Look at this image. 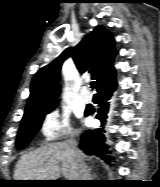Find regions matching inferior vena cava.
<instances>
[{
  "instance_id": "1",
  "label": "inferior vena cava",
  "mask_w": 160,
  "mask_h": 187,
  "mask_svg": "<svg viewBox=\"0 0 160 187\" xmlns=\"http://www.w3.org/2000/svg\"><path fill=\"white\" fill-rule=\"evenodd\" d=\"M66 145L70 149V151L75 155L77 161L80 162L76 149L77 142L73 138V136L69 140H67ZM79 173H80L79 180H89L88 170L82 164H79Z\"/></svg>"
}]
</instances>
